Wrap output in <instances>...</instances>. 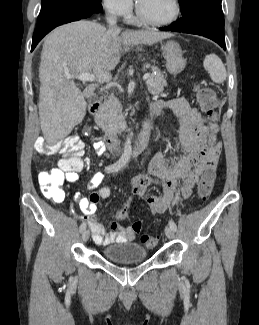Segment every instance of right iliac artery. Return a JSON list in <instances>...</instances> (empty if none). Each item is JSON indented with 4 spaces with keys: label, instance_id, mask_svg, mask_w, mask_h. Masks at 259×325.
<instances>
[{
    "label": "right iliac artery",
    "instance_id": "1",
    "mask_svg": "<svg viewBox=\"0 0 259 325\" xmlns=\"http://www.w3.org/2000/svg\"><path fill=\"white\" fill-rule=\"evenodd\" d=\"M131 156V149L126 150L122 156L120 157V159L118 161H116L114 164L109 165L107 167H105V171L106 172H112L114 170H116V166H121V169L127 164V162L129 161ZM80 232H83L86 229V223L83 222L80 225Z\"/></svg>",
    "mask_w": 259,
    "mask_h": 325
}]
</instances>
